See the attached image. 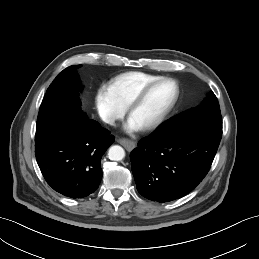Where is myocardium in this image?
<instances>
[{
  "label": "myocardium",
  "mask_w": 259,
  "mask_h": 259,
  "mask_svg": "<svg viewBox=\"0 0 259 259\" xmlns=\"http://www.w3.org/2000/svg\"><path fill=\"white\" fill-rule=\"evenodd\" d=\"M163 82H171L174 84L176 92L175 96L172 100V102L164 109V111L159 115L158 118H156L153 122L149 123L148 125L142 127L143 131H151L159 127L166 118L170 115V113L174 110L176 107L180 94L181 89L178 81L171 77H160L145 86H143L129 101L126 107V113L130 117L132 111L144 100L146 95L150 92L151 89H153L156 85L163 83Z\"/></svg>",
  "instance_id": "1"
}]
</instances>
